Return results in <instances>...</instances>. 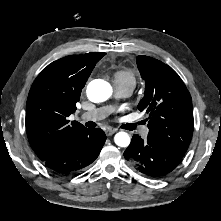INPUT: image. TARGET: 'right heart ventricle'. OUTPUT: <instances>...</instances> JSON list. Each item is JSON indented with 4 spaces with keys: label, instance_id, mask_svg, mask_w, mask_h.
Segmentation results:
<instances>
[{
    "label": "right heart ventricle",
    "instance_id": "e07e8e85",
    "mask_svg": "<svg viewBox=\"0 0 221 221\" xmlns=\"http://www.w3.org/2000/svg\"><path fill=\"white\" fill-rule=\"evenodd\" d=\"M115 85H129L133 88L136 85V78L134 73L128 69H120L114 73Z\"/></svg>",
    "mask_w": 221,
    "mask_h": 221
}]
</instances>
